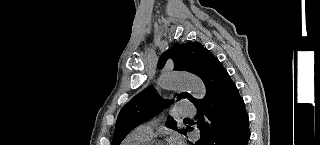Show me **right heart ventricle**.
I'll list each match as a JSON object with an SVG mask.
<instances>
[{"instance_id": "1", "label": "right heart ventricle", "mask_w": 320, "mask_h": 145, "mask_svg": "<svg viewBox=\"0 0 320 145\" xmlns=\"http://www.w3.org/2000/svg\"><path fill=\"white\" fill-rule=\"evenodd\" d=\"M151 138L143 135L136 130L131 132L122 142L121 145H146Z\"/></svg>"}]
</instances>
